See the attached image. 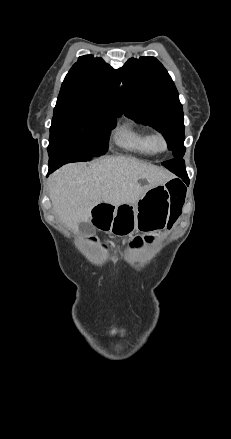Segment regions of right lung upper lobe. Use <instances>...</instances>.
I'll use <instances>...</instances> for the list:
<instances>
[{
	"instance_id": "obj_1",
	"label": "right lung upper lobe",
	"mask_w": 231,
	"mask_h": 439,
	"mask_svg": "<svg viewBox=\"0 0 231 439\" xmlns=\"http://www.w3.org/2000/svg\"><path fill=\"white\" fill-rule=\"evenodd\" d=\"M117 71L102 58L80 56L66 75L54 109L95 107L122 110Z\"/></svg>"
}]
</instances>
